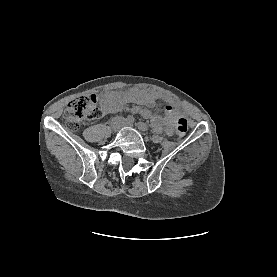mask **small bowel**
Returning <instances> with one entry per match:
<instances>
[{"mask_svg": "<svg viewBox=\"0 0 277 277\" xmlns=\"http://www.w3.org/2000/svg\"><path fill=\"white\" fill-rule=\"evenodd\" d=\"M160 99L164 102V105L161 107L164 110V115L143 109L137 105L131 108V112L143 115L151 122L155 130L159 132L165 131L167 134H171L177 110L174 102L158 91L152 89H130L125 92H106L100 97L103 115L119 112L124 104L130 102H139L146 106L153 107Z\"/></svg>", "mask_w": 277, "mask_h": 277, "instance_id": "obj_1", "label": "small bowel"}]
</instances>
